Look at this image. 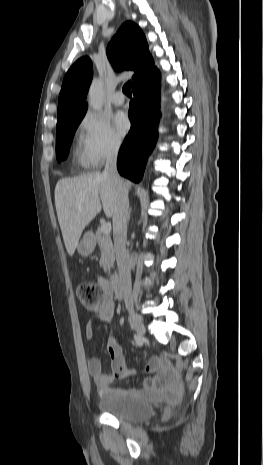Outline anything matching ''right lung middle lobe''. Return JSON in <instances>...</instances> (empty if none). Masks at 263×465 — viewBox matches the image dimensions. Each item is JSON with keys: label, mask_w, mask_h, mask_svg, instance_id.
Masks as SVG:
<instances>
[{"label": "right lung middle lobe", "mask_w": 263, "mask_h": 465, "mask_svg": "<svg viewBox=\"0 0 263 465\" xmlns=\"http://www.w3.org/2000/svg\"><path fill=\"white\" fill-rule=\"evenodd\" d=\"M85 113L86 110L77 111L57 123L56 157L59 162L67 158L74 133Z\"/></svg>", "instance_id": "right-lung-middle-lobe-1"}]
</instances>
